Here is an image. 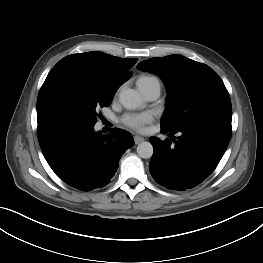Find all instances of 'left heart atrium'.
I'll use <instances>...</instances> for the list:
<instances>
[{
  "mask_svg": "<svg viewBox=\"0 0 263 263\" xmlns=\"http://www.w3.org/2000/svg\"><path fill=\"white\" fill-rule=\"evenodd\" d=\"M123 123L137 131H144L145 126L152 121V116L147 113L129 114L123 118Z\"/></svg>",
  "mask_w": 263,
  "mask_h": 263,
  "instance_id": "39dd6f15",
  "label": "left heart atrium"
}]
</instances>
